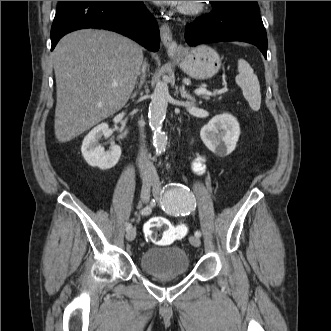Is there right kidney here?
Instances as JSON below:
<instances>
[{
	"mask_svg": "<svg viewBox=\"0 0 331 331\" xmlns=\"http://www.w3.org/2000/svg\"><path fill=\"white\" fill-rule=\"evenodd\" d=\"M109 126L107 123H101L93 128L84 138L81 152L86 162L92 167H98L102 170H107L114 167L121 156V148L118 145H112L108 151H105L98 143L99 139L104 135H108ZM127 135V131L119 135V139H123Z\"/></svg>",
	"mask_w": 331,
	"mask_h": 331,
	"instance_id": "ca27d5eb",
	"label": "right kidney"
}]
</instances>
